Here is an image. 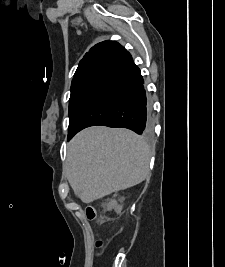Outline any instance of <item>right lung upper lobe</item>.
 Instances as JSON below:
<instances>
[{
    "mask_svg": "<svg viewBox=\"0 0 225 267\" xmlns=\"http://www.w3.org/2000/svg\"><path fill=\"white\" fill-rule=\"evenodd\" d=\"M126 50L117 42L103 41L93 46L80 61L72 84L88 77L101 76Z\"/></svg>",
    "mask_w": 225,
    "mask_h": 267,
    "instance_id": "1",
    "label": "right lung upper lobe"
}]
</instances>
